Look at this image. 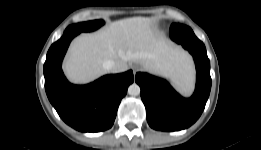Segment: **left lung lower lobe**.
<instances>
[{
    "mask_svg": "<svg viewBox=\"0 0 261 150\" xmlns=\"http://www.w3.org/2000/svg\"><path fill=\"white\" fill-rule=\"evenodd\" d=\"M170 37L188 50L195 61L197 80L190 98L181 97L170 84L147 73H137L150 127L161 131H177L191 126L203 112L211 89L210 61L204 44L186 25L172 24Z\"/></svg>",
    "mask_w": 261,
    "mask_h": 150,
    "instance_id": "obj_1",
    "label": "left lung lower lobe"
}]
</instances>
